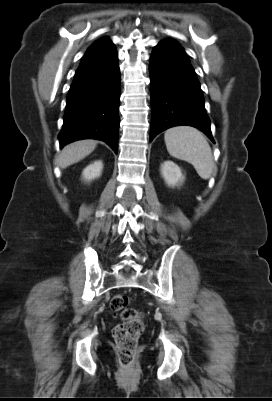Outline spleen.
Segmentation results:
<instances>
[{"label":"spleen","instance_id":"1","mask_svg":"<svg viewBox=\"0 0 272 401\" xmlns=\"http://www.w3.org/2000/svg\"><path fill=\"white\" fill-rule=\"evenodd\" d=\"M164 139L171 156L192 164L202 179L211 177L213 155L209 143L200 131L186 126L174 127L165 132Z\"/></svg>","mask_w":272,"mask_h":401}]
</instances>
